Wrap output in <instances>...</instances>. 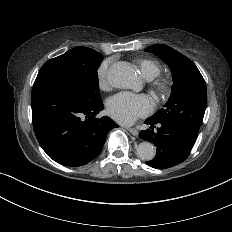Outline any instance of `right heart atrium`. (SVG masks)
I'll use <instances>...</instances> for the list:
<instances>
[{
	"label": "right heart atrium",
	"instance_id": "right-heart-atrium-1",
	"mask_svg": "<svg viewBox=\"0 0 232 232\" xmlns=\"http://www.w3.org/2000/svg\"><path fill=\"white\" fill-rule=\"evenodd\" d=\"M107 65H108L107 63H103L99 69V76L102 80H106L105 79V70H106Z\"/></svg>",
	"mask_w": 232,
	"mask_h": 232
}]
</instances>
